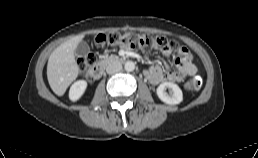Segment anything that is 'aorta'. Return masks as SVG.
<instances>
[{"mask_svg":"<svg viewBox=\"0 0 258 158\" xmlns=\"http://www.w3.org/2000/svg\"><path fill=\"white\" fill-rule=\"evenodd\" d=\"M126 71L131 72L135 69V63L133 61H127L124 65Z\"/></svg>","mask_w":258,"mask_h":158,"instance_id":"762f6f07","label":"aorta"}]
</instances>
